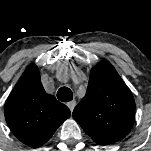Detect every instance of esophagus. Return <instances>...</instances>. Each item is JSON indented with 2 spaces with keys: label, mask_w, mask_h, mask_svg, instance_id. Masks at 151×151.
<instances>
[{
  "label": "esophagus",
  "mask_w": 151,
  "mask_h": 151,
  "mask_svg": "<svg viewBox=\"0 0 151 151\" xmlns=\"http://www.w3.org/2000/svg\"><path fill=\"white\" fill-rule=\"evenodd\" d=\"M75 105H76V101L75 100H72V101H70V102L67 103V106L69 107V109L71 111H73Z\"/></svg>",
  "instance_id": "34e87169"
}]
</instances>
